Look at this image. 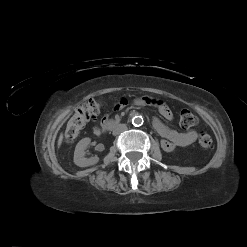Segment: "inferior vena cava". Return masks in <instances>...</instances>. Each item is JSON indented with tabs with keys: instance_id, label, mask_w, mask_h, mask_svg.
Listing matches in <instances>:
<instances>
[{
	"instance_id": "1",
	"label": "inferior vena cava",
	"mask_w": 247,
	"mask_h": 247,
	"mask_svg": "<svg viewBox=\"0 0 247 247\" xmlns=\"http://www.w3.org/2000/svg\"><path fill=\"white\" fill-rule=\"evenodd\" d=\"M127 130V126L125 124H119L113 129V135H118Z\"/></svg>"
}]
</instances>
